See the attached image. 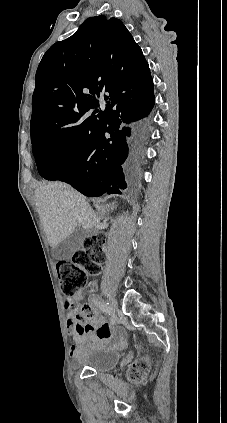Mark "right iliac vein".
Wrapping results in <instances>:
<instances>
[{
    "instance_id": "obj_1",
    "label": "right iliac vein",
    "mask_w": 227,
    "mask_h": 423,
    "mask_svg": "<svg viewBox=\"0 0 227 423\" xmlns=\"http://www.w3.org/2000/svg\"><path fill=\"white\" fill-rule=\"evenodd\" d=\"M109 302H110V308H111V310L116 311V309H117V303H116V301L113 300V299H111Z\"/></svg>"
}]
</instances>
